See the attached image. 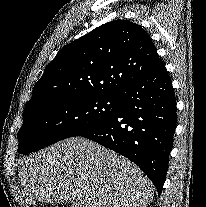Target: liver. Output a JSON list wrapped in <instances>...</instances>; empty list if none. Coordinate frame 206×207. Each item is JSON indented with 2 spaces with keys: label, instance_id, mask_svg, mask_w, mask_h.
<instances>
[{
  "label": "liver",
  "instance_id": "6515ba94",
  "mask_svg": "<svg viewBox=\"0 0 206 207\" xmlns=\"http://www.w3.org/2000/svg\"><path fill=\"white\" fill-rule=\"evenodd\" d=\"M27 204L71 207H147L151 181L123 156L82 137H72L27 157L18 172Z\"/></svg>",
  "mask_w": 206,
  "mask_h": 207
}]
</instances>
